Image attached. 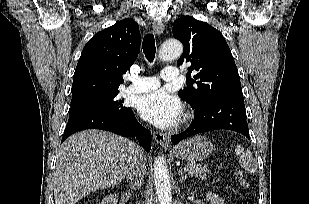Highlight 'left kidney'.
<instances>
[{
    "label": "left kidney",
    "instance_id": "obj_1",
    "mask_svg": "<svg viewBox=\"0 0 309 204\" xmlns=\"http://www.w3.org/2000/svg\"><path fill=\"white\" fill-rule=\"evenodd\" d=\"M206 198L210 204H224V200L212 192H208Z\"/></svg>",
    "mask_w": 309,
    "mask_h": 204
}]
</instances>
